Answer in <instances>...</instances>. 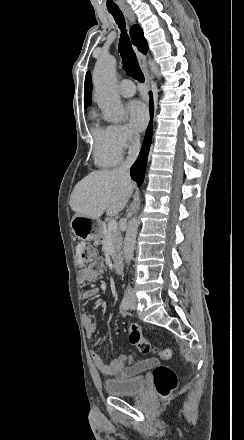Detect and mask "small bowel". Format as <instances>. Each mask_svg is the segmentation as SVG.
<instances>
[{
  "instance_id": "1",
  "label": "small bowel",
  "mask_w": 244,
  "mask_h": 440,
  "mask_svg": "<svg viewBox=\"0 0 244 440\" xmlns=\"http://www.w3.org/2000/svg\"><path fill=\"white\" fill-rule=\"evenodd\" d=\"M103 269L104 260L100 257L95 258L85 269L80 271V282L82 284H90L94 282L101 276ZM98 292L97 288L92 287L85 290L82 297L85 300H90L96 297ZM83 319L87 335H93L97 330V324L88 314H84ZM91 357L100 373L106 377H113L120 381L132 379L156 365L155 360H137L132 355H121L111 362H105L102 356L96 351L91 352Z\"/></svg>"
}]
</instances>
